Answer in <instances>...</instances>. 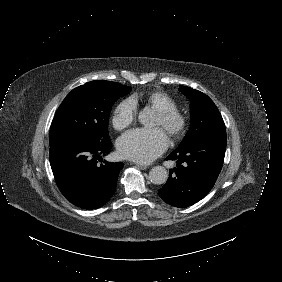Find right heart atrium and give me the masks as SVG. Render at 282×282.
I'll return each mask as SVG.
<instances>
[{"instance_id":"1","label":"right heart atrium","mask_w":282,"mask_h":282,"mask_svg":"<svg viewBox=\"0 0 282 282\" xmlns=\"http://www.w3.org/2000/svg\"><path fill=\"white\" fill-rule=\"evenodd\" d=\"M135 109L129 102L122 103L117 107L113 117V125L117 129H123L129 126L135 119Z\"/></svg>"}]
</instances>
